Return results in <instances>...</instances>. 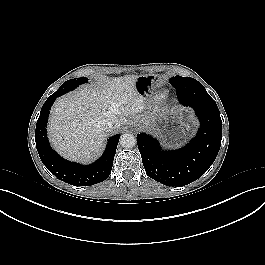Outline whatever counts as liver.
<instances>
[{"instance_id":"6515ba94","label":"liver","mask_w":265,"mask_h":265,"mask_svg":"<svg viewBox=\"0 0 265 265\" xmlns=\"http://www.w3.org/2000/svg\"><path fill=\"white\" fill-rule=\"evenodd\" d=\"M138 76H123L101 86H86L59 98L49 117V139L54 149L71 161L89 163L103 149L106 132L99 123L115 117L119 124L132 116L149 126V117L138 114L144 108L136 87Z\"/></svg>"}]
</instances>
